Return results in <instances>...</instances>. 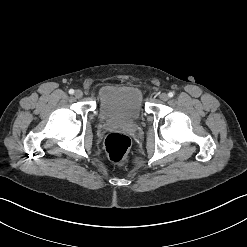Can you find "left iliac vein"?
<instances>
[{"label":"left iliac vein","mask_w":247,"mask_h":247,"mask_svg":"<svg viewBox=\"0 0 247 247\" xmlns=\"http://www.w3.org/2000/svg\"><path fill=\"white\" fill-rule=\"evenodd\" d=\"M160 99L162 101H167L169 99V96L166 93H162V94H160Z\"/></svg>","instance_id":"1"}]
</instances>
